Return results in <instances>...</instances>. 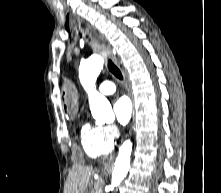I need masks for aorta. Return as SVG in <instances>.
<instances>
[{
    "mask_svg": "<svg viewBox=\"0 0 221 193\" xmlns=\"http://www.w3.org/2000/svg\"><path fill=\"white\" fill-rule=\"evenodd\" d=\"M104 60L101 56H91L80 64L79 79L83 88L88 93L89 105L92 116L97 121L107 122L114 118L110 102L101 95L95 88L98 75L103 69ZM132 152V142L126 140L119 148L118 156L115 160L112 177L111 191L117 187L126 177L130 169V160Z\"/></svg>",
    "mask_w": 221,
    "mask_h": 193,
    "instance_id": "aorta-1",
    "label": "aorta"
}]
</instances>
